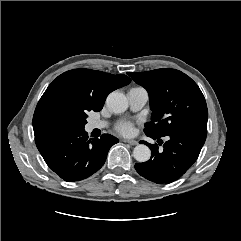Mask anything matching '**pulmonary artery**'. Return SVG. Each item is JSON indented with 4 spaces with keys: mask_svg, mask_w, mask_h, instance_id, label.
Listing matches in <instances>:
<instances>
[{
    "mask_svg": "<svg viewBox=\"0 0 241 241\" xmlns=\"http://www.w3.org/2000/svg\"><path fill=\"white\" fill-rule=\"evenodd\" d=\"M127 98L130 109L132 111H139L146 105L149 99V95L146 89L142 87H134L128 91ZM107 125L108 123L105 121L93 120L89 122L88 128L90 130L102 129L105 128Z\"/></svg>",
    "mask_w": 241,
    "mask_h": 241,
    "instance_id": "pulmonary-artery-1",
    "label": "pulmonary artery"
}]
</instances>
